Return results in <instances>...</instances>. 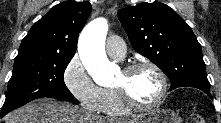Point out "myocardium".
<instances>
[{"label":"myocardium","mask_w":221,"mask_h":123,"mask_svg":"<svg viewBox=\"0 0 221 123\" xmlns=\"http://www.w3.org/2000/svg\"><path fill=\"white\" fill-rule=\"evenodd\" d=\"M148 68L153 70L160 80V94L158 98L151 104H140L136 102L128 93L125 87H113V90L117 94L118 98L120 99L121 103L124 105L126 109L129 111H150L160 107L163 102L165 101L168 93V79L165 72L155 63L151 61H141L137 63H133L125 67L122 72L125 75H130L140 69Z\"/></svg>","instance_id":"obj_1"}]
</instances>
